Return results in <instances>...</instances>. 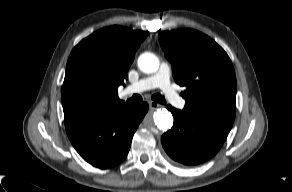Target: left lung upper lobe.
I'll return each instance as SVG.
<instances>
[{
  "mask_svg": "<svg viewBox=\"0 0 292 192\" xmlns=\"http://www.w3.org/2000/svg\"><path fill=\"white\" fill-rule=\"evenodd\" d=\"M159 41L173 66L176 83L186 87L182 112L233 124L236 77L227 53L211 38L192 29L161 32Z\"/></svg>",
  "mask_w": 292,
  "mask_h": 192,
  "instance_id": "obj_1",
  "label": "left lung upper lobe"
}]
</instances>
